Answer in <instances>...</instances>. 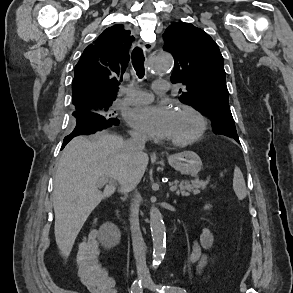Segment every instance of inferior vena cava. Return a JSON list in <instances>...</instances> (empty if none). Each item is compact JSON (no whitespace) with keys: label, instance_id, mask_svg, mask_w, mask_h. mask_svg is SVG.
Wrapping results in <instances>:
<instances>
[{"label":"inferior vena cava","instance_id":"1","mask_svg":"<svg viewBox=\"0 0 293 293\" xmlns=\"http://www.w3.org/2000/svg\"><path fill=\"white\" fill-rule=\"evenodd\" d=\"M146 136L141 133H132L131 138L127 141V148L131 153L141 154L145 148ZM137 184L138 181L132 177H127L123 183L122 188L124 192H135V197L137 193ZM130 228L132 234V245L133 252L136 261L137 270L142 272H146V260H145V252H144V243L141 236L139 221H138V210H137V200L136 198L132 199L131 207H130Z\"/></svg>","mask_w":293,"mask_h":293}]
</instances>
